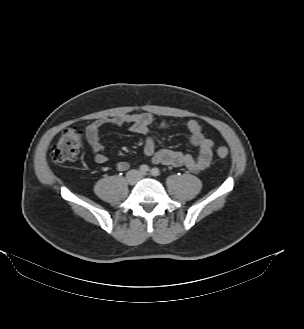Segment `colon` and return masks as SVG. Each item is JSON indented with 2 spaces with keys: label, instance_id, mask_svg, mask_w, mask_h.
<instances>
[{
  "label": "colon",
  "instance_id": "obj_1",
  "mask_svg": "<svg viewBox=\"0 0 304 329\" xmlns=\"http://www.w3.org/2000/svg\"><path fill=\"white\" fill-rule=\"evenodd\" d=\"M81 144L82 132L75 127L66 129L52 149L51 161L55 165L74 161L78 155ZM216 154L219 158L225 159L229 155V150L225 146H219L216 149Z\"/></svg>",
  "mask_w": 304,
  "mask_h": 329
}]
</instances>
